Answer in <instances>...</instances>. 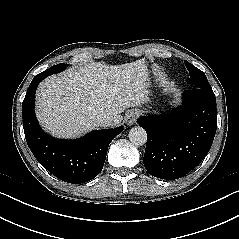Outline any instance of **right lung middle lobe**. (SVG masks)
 Segmentation results:
<instances>
[{"instance_id":"1","label":"right lung middle lobe","mask_w":239,"mask_h":239,"mask_svg":"<svg viewBox=\"0 0 239 239\" xmlns=\"http://www.w3.org/2000/svg\"><path fill=\"white\" fill-rule=\"evenodd\" d=\"M69 64H57L52 66L51 68L47 69L46 71L42 72L44 74H47V76L54 74V73H58L60 71H63Z\"/></svg>"}]
</instances>
